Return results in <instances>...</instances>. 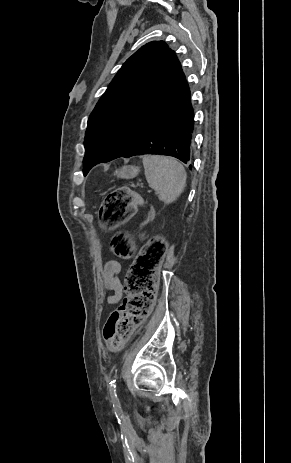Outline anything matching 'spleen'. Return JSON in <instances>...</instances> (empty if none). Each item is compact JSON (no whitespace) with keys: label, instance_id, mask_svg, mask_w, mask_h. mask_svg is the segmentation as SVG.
Instances as JSON below:
<instances>
[{"label":"spleen","instance_id":"spleen-1","mask_svg":"<svg viewBox=\"0 0 291 463\" xmlns=\"http://www.w3.org/2000/svg\"><path fill=\"white\" fill-rule=\"evenodd\" d=\"M145 177L151 188L166 204L175 202L183 193L186 183L184 167L175 159L148 155L143 158Z\"/></svg>","mask_w":291,"mask_h":463}]
</instances>
